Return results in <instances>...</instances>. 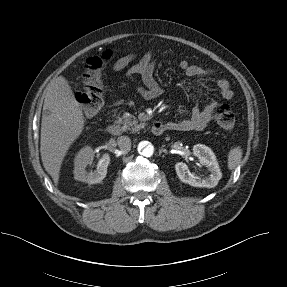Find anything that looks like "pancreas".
Returning a JSON list of instances; mask_svg holds the SVG:
<instances>
[{"mask_svg":"<svg viewBox=\"0 0 287 287\" xmlns=\"http://www.w3.org/2000/svg\"><path fill=\"white\" fill-rule=\"evenodd\" d=\"M117 123L123 125V131L131 130L132 132H137L145 127V123L138 124V121L130 114H124L121 118L119 117Z\"/></svg>","mask_w":287,"mask_h":287,"instance_id":"obj_1","label":"pancreas"}]
</instances>
